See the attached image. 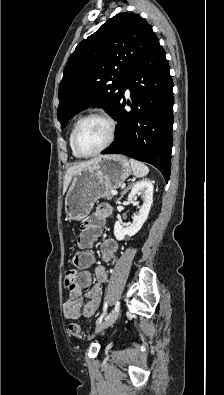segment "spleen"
Instances as JSON below:
<instances>
[{
	"instance_id": "spleen-1",
	"label": "spleen",
	"mask_w": 224,
	"mask_h": 395,
	"mask_svg": "<svg viewBox=\"0 0 224 395\" xmlns=\"http://www.w3.org/2000/svg\"><path fill=\"white\" fill-rule=\"evenodd\" d=\"M129 162L136 177H144L148 174L149 168L144 163L135 159H130Z\"/></svg>"
}]
</instances>
